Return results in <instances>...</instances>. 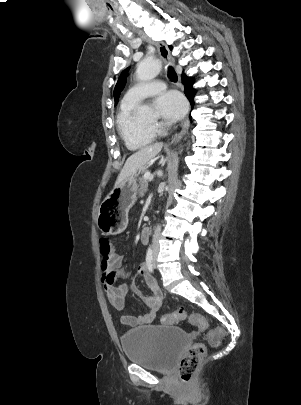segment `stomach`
Returning a JSON list of instances; mask_svg holds the SVG:
<instances>
[{"mask_svg": "<svg viewBox=\"0 0 301 405\" xmlns=\"http://www.w3.org/2000/svg\"><path fill=\"white\" fill-rule=\"evenodd\" d=\"M137 194L136 175L130 176L113 188L98 210L97 226L103 234H118L126 229L128 212L137 200Z\"/></svg>", "mask_w": 301, "mask_h": 405, "instance_id": "0dacf381", "label": "stomach"}]
</instances>
